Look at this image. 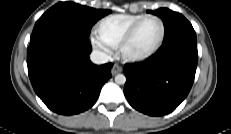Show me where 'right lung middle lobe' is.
I'll return each mask as SVG.
<instances>
[{"mask_svg": "<svg viewBox=\"0 0 231 134\" xmlns=\"http://www.w3.org/2000/svg\"><path fill=\"white\" fill-rule=\"evenodd\" d=\"M110 12V10L93 9L74 2H59L39 18L32 33L50 25H62L88 36L93 24Z\"/></svg>", "mask_w": 231, "mask_h": 134, "instance_id": "dd1d6c3e", "label": "right lung middle lobe"}]
</instances>
